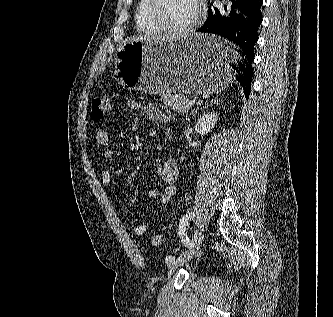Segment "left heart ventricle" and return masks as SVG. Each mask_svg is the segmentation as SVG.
Here are the masks:
<instances>
[{
  "mask_svg": "<svg viewBox=\"0 0 333 317\" xmlns=\"http://www.w3.org/2000/svg\"><path fill=\"white\" fill-rule=\"evenodd\" d=\"M157 12L169 25L184 27L195 17L196 3L195 0H159Z\"/></svg>",
  "mask_w": 333,
  "mask_h": 317,
  "instance_id": "left-heart-ventricle-1",
  "label": "left heart ventricle"
}]
</instances>
